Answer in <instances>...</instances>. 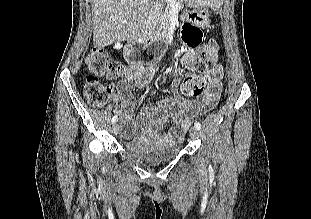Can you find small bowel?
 I'll use <instances>...</instances> for the list:
<instances>
[{
  "mask_svg": "<svg viewBox=\"0 0 311 219\" xmlns=\"http://www.w3.org/2000/svg\"><path fill=\"white\" fill-rule=\"evenodd\" d=\"M183 41L187 49L182 57V64L188 66L194 60L197 45L186 39ZM155 76L156 70L153 66L145 67L140 62L132 63L125 71V80L118 85L120 104L114 107V111L120 114L124 139L136 137L145 142L171 145L183 139L195 116L216 104L222 90V70L219 67V70L210 73L209 87L197 99H189L181 92V79L176 76L172 81L174 98L156 100L153 105L143 109L134 120L136 102L132 94V84L146 88L152 84ZM168 124L173 125L170 131L160 133L159 129Z\"/></svg>",
  "mask_w": 311,
  "mask_h": 219,
  "instance_id": "small-bowel-1",
  "label": "small bowel"
}]
</instances>
